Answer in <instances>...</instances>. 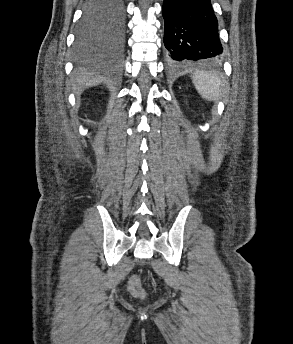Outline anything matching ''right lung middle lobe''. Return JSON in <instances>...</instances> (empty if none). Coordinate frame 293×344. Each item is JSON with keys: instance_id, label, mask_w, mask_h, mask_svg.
<instances>
[{"instance_id": "1", "label": "right lung middle lobe", "mask_w": 293, "mask_h": 344, "mask_svg": "<svg viewBox=\"0 0 293 344\" xmlns=\"http://www.w3.org/2000/svg\"><path fill=\"white\" fill-rule=\"evenodd\" d=\"M123 17L122 0H89L77 30V47L111 44L113 34L122 30Z\"/></svg>"}]
</instances>
